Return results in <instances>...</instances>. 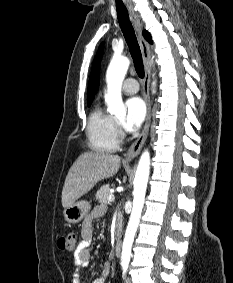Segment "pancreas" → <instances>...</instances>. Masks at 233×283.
<instances>
[{"mask_svg":"<svg viewBox=\"0 0 233 283\" xmlns=\"http://www.w3.org/2000/svg\"><path fill=\"white\" fill-rule=\"evenodd\" d=\"M112 194L111 193V187L109 184H105L103 186L100 187V189L97 191L96 193V199L100 202V203H108V196ZM120 217V214H119ZM120 221H119V227H120Z\"/></svg>","mask_w":233,"mask_h":283,"instance_id":"obj_1","label":"pancreas"}]
</instances>
